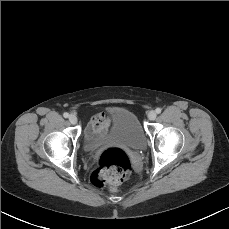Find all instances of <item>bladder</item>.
<instances>
[{
	"mask_svg": "<svg viewBox=\"0 0 229 229\" xmlns=\"http://www.w3.org/2000/svg\"><path fill=\"white\" fill-rule=\"evenodd\" d=\"M108 143H118L134 151L146 149V133L133 112L124 108L113 109L108 131L85 134L83 146L85 151L92 152Z\"/></svg>",
	"mask_w": 229,
	"mask_h": 229,
	"instance_id": "31cf9c89",
	"label": "bladder"
}]
</instances>
